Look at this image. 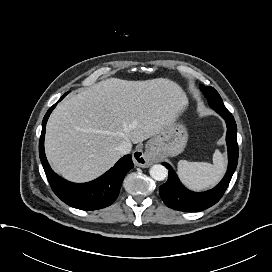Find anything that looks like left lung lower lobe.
<instances>
[{
  "label": "left lung lower lobe",
  "mask_w": 272,
  "mask_h": 272,
  "mask_svg": "<svg viewBox=\"0 0 272 272\" xmlns=\"http://www.w3.org/2000/svg\"><path fill=\"white\" fill-rule=\"evenodd\" d=\"M209 105L220 114L227 124L226 142L228 148V168L222 181L213 189L196 193L186 189L179 181L172 167L163 163L169 170L166 183L160 186L159 193L164 203L172 209L185 212L203 211L216 204L223 196L235 172L238 162L237 126L232 114L226 109L223 102L218 100L209 102Z\"/></svg>",
  "instance_id": "0a47b994"
}]
</instances>
